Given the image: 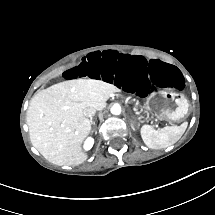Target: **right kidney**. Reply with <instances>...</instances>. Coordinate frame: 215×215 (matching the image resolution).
Wrapping results in <instances>:
<instances>
[{"label": "right kidney", "instance_id": "right-kidney-1", "mask_svg": "<svg viewBox=\"0 0 215 215\" xmlns=\"http://www.w3.org/2000/svg\"><path fill=\"white\" fill-rule=\"evenodd\" d=\"M94 139L92 137H88L84 142V149L86 151L90 150L93 147Z\"/></svg>", "mask_w": 215, "mask_h": 215}]
</instances>
